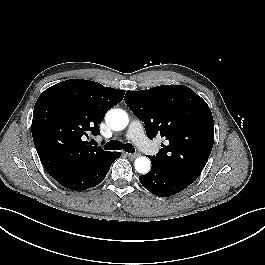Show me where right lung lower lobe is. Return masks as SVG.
Masks as SVG:
<instances>
[{
  "label": "right lung lower lobe",
  "instance_id": "right-lung-lower-lobe-1",
  "mask_svg": "<svg viewBox=\"0 0 265 265\" xmlns=\"http://www.w3.org/2000/svg\"><path fill=\"white\" fill-rule=\"evenodd\" d=\"M119 157V152H111L98 162L63 170L51 176L64 187L82 191L99 184L106 177L112 162Z\"/></svg>",
  "mask_w": 265,
  "mask_h": 265
}]
</instances>
